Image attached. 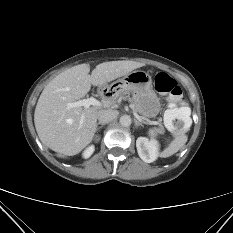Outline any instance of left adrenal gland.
Returning <instances> with one entry per match:
<instances>
[{
    "mask_svg": "<svg viewBox=\"0 0 233 233\" xmlns=\"http://www.w3.org/2000/svg\"><path fill=\"white\" fill-rule=\"evenodd\" d=\"M134 121H135V127L136 128L139 127V126L143 127V125L138 120L135 119Z\"/></svg>",
    "mask_w": 233,
    "mask_h": 233,
    "instance_id": "left-adrenal-gland-1",
    "label": "left adrenal gland"
}]
</instances>
